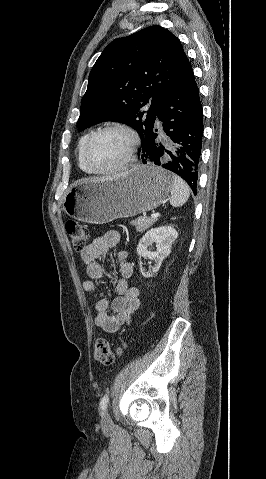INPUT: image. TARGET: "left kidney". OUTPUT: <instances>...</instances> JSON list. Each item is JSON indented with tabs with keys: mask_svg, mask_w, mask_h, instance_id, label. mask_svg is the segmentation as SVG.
<instances>
[{
	"mask_svg": "<svg viewBox=\"0 0 266 479\" xmlns=\"http://www.w3.org/2000/svg\"><path fill=\"white\" fill-rule=\"evenodd\" d=\"M178 233L171 226L152 228L140 239L137 246V254L140 257L154 260L155 264L149 271L140 265V271L145 278L153 277L159 270L162 261L171 253V246L177 239ZM156 244V251L148 250L152 244Z\"/></svg>",
	"mask_w": 266,
	"mask_h": 479,
	"instance_id": "5707ae66",
	"label": "left kidney"
}]
</instances>
